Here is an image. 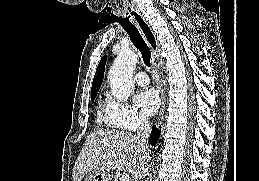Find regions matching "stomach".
Segmentation results:
<instances>
[{
  "mask_svg": "<svg viewBox=\"0 0 259 181\" xmlns=\"http://www.w3.org/2000/svg\"><path fill=\"white\" fill-rule=\"evenodd\" d=\"M85 181H111L108 174L101 171H92L86 174Z\"/></svg>",
  "mask_w": 259,
  "mask_h": 181,
  "instance_id": "stomach-1",
  "label": "stomach"
}]
</instances>
